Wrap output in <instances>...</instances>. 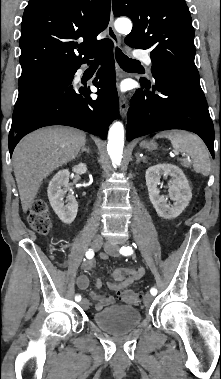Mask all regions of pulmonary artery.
<instances>
[{
  "label": "pulmonary artery",
  "mask_w": 221,
  "mask_h": 379,
  "mask_svg": "<svg viewBox=\"0 0 221 379\" xmlns=\"http://www.w3.org/2000/svg\"><path fill=\"white\" fill-rule=\"evenodd\" d=\"M134 57L136 59H140L142 60L143 62H145L148 66H151L152 65V60H151V57L149 56V54L145 51H135L134 52Z\"/></svg>",
  "instance_id": "e3ab8cb5"
}]
</instances>
